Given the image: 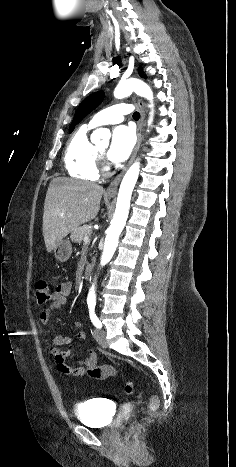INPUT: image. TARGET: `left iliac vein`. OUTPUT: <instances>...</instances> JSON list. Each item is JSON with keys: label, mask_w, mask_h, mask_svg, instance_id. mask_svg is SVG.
<instances>
[{"label": "left iliac vein", "mask_w": 236, "mask_h": 467, "mask_svg": "<svg viewBox=\"0 0 236 467\" xmlns=\"http://www.w3.org/2000/svg\"><path fill=\"white\" fill-rule=\"evenodd\" d=\"M94 337L101 347L103 348L107 347L106 334L104 330L96 328L94 330Z\"/></svg>", "instance_id": "4c4485c4"}]
</instances>
